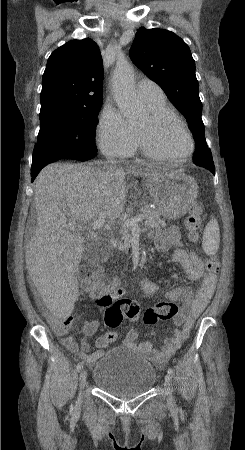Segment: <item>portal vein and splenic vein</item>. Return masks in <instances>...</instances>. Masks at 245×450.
<instances>
[{
    "label": "portal vein and splenic vein",
    "mask_w": 245,
    "mask_h": 450,
    "mask_svg": "<svg viewBox=\"0 0 245 450\" xmlns=\"http://www.w3.org/2000/svg\"><path fill=\"white\" fill-rule=\"evenodd\" d=\"M105 217H106L105 213L101 212L99 214L98 220H96V221H94L92 223V228L93 229L100 228L103 225V223H104ZM143 219H144V215L140 214V215H138V216H136L134 218L125 220L123 222V226L126 227V228H129L130 230H133V231L140 230L138 223L140 221H142ZM69 229L74 231L76 229V226L74 224H69Z\"/></svg>",
    "instance_id": "18ae733b"
}]
</instances>
